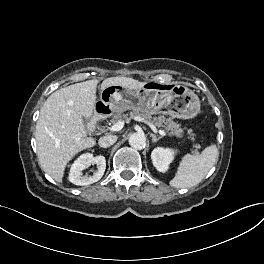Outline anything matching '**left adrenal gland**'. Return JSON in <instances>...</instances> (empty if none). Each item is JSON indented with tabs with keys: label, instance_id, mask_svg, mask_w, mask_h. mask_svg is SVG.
Wrapping results in <instances>:
<instances>
[{
	"label": "left adrenal gland",
	"instance_id": "a2214340",
	"mask_svg": "<svg viewBox=\"0 0 264 264\" xmlns=\"http://www.w3.org/2000/svg\"><path fill=\"white\" fill-rule=\"evenodd\" d=\"M150 136L152 137V142L155 143L159 141L162 137H157L155 134L150 133Z\"/></svg>",
	"mask_w": 264,
	"mask_h": 264
}]
</instances>
